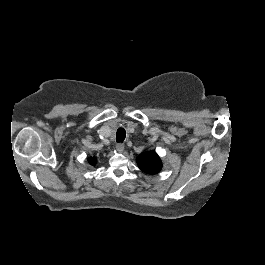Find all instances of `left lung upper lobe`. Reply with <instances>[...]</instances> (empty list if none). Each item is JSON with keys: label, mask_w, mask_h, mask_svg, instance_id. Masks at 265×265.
<instances>
[{"label": "left lung upper lobe", "mask_w": 265, "mask_h": 265, "mask_svg": "<svg viewBox=\"0 0 265 265\" xmlns=\"http://www.w3.org/2000/svg\"><path fill=\"white\" fill-rule=\"evenodd\" d=\"M137 164L142 171L148 174H156L162 168V162L154 151L140 154L137 157Z\"/></svg>", "instance_id": "obj_1"}]
</instances>
